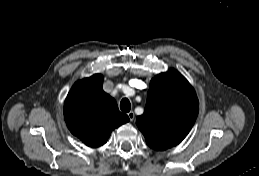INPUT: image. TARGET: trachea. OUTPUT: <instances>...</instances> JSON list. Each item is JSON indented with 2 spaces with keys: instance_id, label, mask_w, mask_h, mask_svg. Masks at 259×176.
<instances>
[{
  "instance_id": "trachea-1",
  "label": "trachea",
  "mask_w": 259,
  "mask_h": 176,
  "mask_svg": "<svg viewBox=\"0 0 259 176\" xmlns=\"http://www.w3.org/2000/svg\"><path fill=\"white\" fill-rule=\"evenodd\" d=\"M120 109L124 112H129L131 109V103L127 98H123L120 102Z\"/></svg>"
}]
</instances>
